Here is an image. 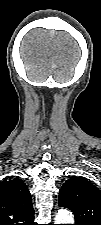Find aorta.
Returning a JSON list of instances; mask_svg holds the SVG:
<instances>
[{
	"mask_svg": "<svg viewBox=\"0 0 101 225\" xmlns=\"http://www.w3.org/2000/svg\"><path fill=\"white\" fill-rule=\"evenodd\" d=\"M55 224H74L72 213L66 209L59 210L55 217Z\"/></svg>",
	"mask_w": 101,
	"mask_h": 225,
	"instance_id": "obj_1",
	"label": "aorta"
}]
</instances>
